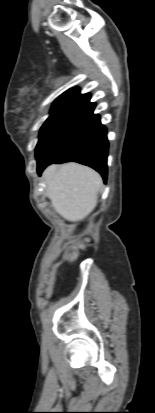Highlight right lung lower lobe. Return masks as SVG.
I'll use <instances>...</instances> for the list:
<instances>
[{
  "mask_svg": "<svg viewBox=\"0 0 155 413\" xmlns=\"http://www.w3.org/2000/svg\"><path fill=\"white\" fill-rule=\"evenodd\" d=\"M95 103L84 102L66 129L60 141L38 163V173L52 163L78 162L94 168L104 181L107 178L108 140L100 116L93 113Z\"/></svg>",
  "mask_w": 155,
  "mask_h": 413,
  "instance_id": "obj_1",
  "label": "right lung lower lobe"
}]
</instances>
